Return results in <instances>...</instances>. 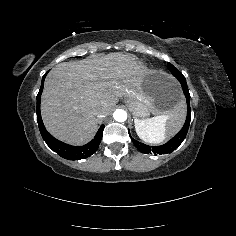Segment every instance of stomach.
<instances>
[{"mask_svg":"<svg viewBox=\"0 0 236 236\" xmlns=\"http://www.w3.org/2000/svg\"><path fill=\"white\" fill-rule=\"evenodd\" d=\"M183 101V94L176 80L161 71L147 73L140 83L139 96L127 97L124 102L134 118H147L150 113L169 114Z\"/></svg>","mask_w":236,"mask_h":236,"instance_id":"stomach-1","label":"stomach"}]
</instances>
